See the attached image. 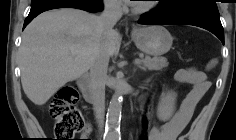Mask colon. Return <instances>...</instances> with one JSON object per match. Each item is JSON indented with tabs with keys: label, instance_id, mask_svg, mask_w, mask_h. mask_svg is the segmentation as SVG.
<instances>
[{
	"label": "colon",
	"instance_id": "obj_1",
	"mask_svg": "<svg viewBox=\"0 0 236 140\" xmlns=\"http://www.w3.org/2000/svg\"><path fill=\"white\" fill-rule=\"evenodd\" d=\"M79 93L74 86L62 87L52 99L49 113L54 120L56 140H73L72 138L85 127L81 111L77 107ZM151 113V99L146 96L141 105V136L139 140H147L146 130ZM179 140H186L183 136Z\"/></svg>",
	"mask_w": 236,
	"mask_h": 140
}]
</instances>
